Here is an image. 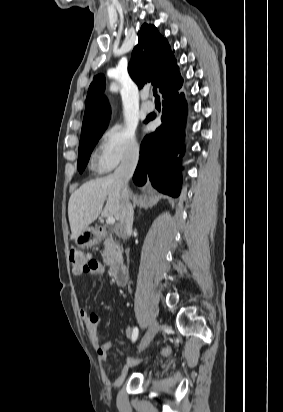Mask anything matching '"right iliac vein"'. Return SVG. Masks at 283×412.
<instances>
[{"label":"right iliac vein","mask_w":283,"mask_h":412,"mask_svg":"<svg viewBox=\"0 0 283 412\" xmlns=\"http://www.w3.org/2000/svg\"><path fill=\"white\" fill-rule=\"evenodd\" d=\"M159 328L158 322L156 320H153L149 326V329L143 339L141 340L138 350L139 352L143 351L153 340L155 334L157 333Z\"/></svg>","instance_id":"right-iliac-vein-1"}]
</instances>
